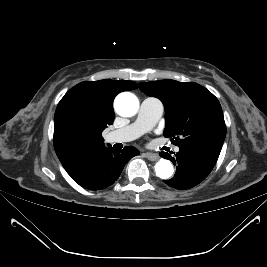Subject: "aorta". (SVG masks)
<instances>
[{
	"label": "aorta",
	"mask_w": 267,
	"mask_h": 267,
	"mask_svg": "<svg viewBox=\"0 0 267 267\" xmlns=\"http://www.w3.org/2000/svg\"><path fill=\"white\" fill-rule=\"evenodd\" d=\"M116 112L123 117L134 116L139 109L138 98L130 92L120 93L114 102ZM156 175L161 179H168L173 175L174 168L172 163L166 159H160L155 164Z\"/></svg>",
	"instance_id": "762f6f07"
}]
</instances>
